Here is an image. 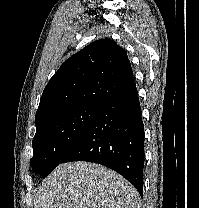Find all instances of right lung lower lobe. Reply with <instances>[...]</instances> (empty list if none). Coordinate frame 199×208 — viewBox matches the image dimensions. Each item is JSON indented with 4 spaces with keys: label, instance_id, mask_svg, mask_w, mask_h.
<instances>
[{
    "label": "right lung lower lobe",
    "instance_id": "right-lung-lower-lobe-1",
    "mask_svg": "<svg viewBox=\"0 0 199 208\" xmlns=\"http://www.w3.org/2000/svg\"><path fill=\"white\" fill-rule=\"evenodd\" d=\"M88 161L109 167L143 196L144 125L136 85L109 98L61 163Z\"/></svg>",
    "mask_w": 199,
    "mask_h": 208
}]
</instances>
